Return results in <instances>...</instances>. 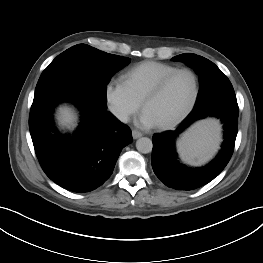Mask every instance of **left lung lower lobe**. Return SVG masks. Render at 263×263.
Returning <instances> with one entry per match:
<instances>
[{
    "label": "left lung lower lobe",
    "instance_id": "obj_1",
    "mask_svg": "<svg viewBox=\"0 0 263 263\" xmlns=\"http://www.w3.org/2000/svg\"><path fill=\"white\" fill-rule=\"evenodd\" d=\"M239 108L234 95H219L195 105L190 115L175 131L153 136L152 168L168 187L179 190L197 189L213 180L229 162L235 145ZM216 117L224 124V142L218 155L206 166L190 168L180 163L175 139L193 122Z\"/></svg>",
    "mask_w": 263,
    "mask_h": 263
}]
</instances>
